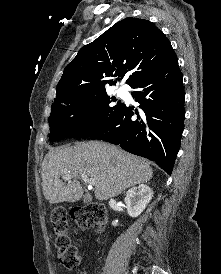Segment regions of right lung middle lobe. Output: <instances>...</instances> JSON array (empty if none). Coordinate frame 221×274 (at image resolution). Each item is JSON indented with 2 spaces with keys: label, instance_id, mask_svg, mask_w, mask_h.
<instances>
[{
  "label": "right lung middle lobe",
  "instance_id": "obj_1",
  "mask_svg": "<svg viewBox=\"0 0 221 274\" xmlns=\"http://www.w3.org/2000/svg\"><path fill=\"white\" fill-rule=\"evenodd\" d=\"M116 99L107 93L85 98L63 99L52 104L49 117L50 141L66 137H89L113 121L123 103H112Z\"/></svg>",
  "mask_w": 221,
  "mask_h": 274
}]
</instances>
